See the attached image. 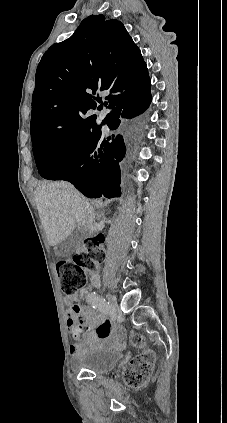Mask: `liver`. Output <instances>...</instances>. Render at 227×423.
I'll return each instance as SVG.
<instances>
[{
	"label": "liver",
	"instance_id": "1",
	"mask_svg": "<svg viewBox=\"0 0 227 423\" xmlns=\"http://www.w3.org/2000/svg\"><path fill=\"white\" fill-rule=\"evenodd\" d=\"M34 200L50 245H57L68 237L77 223L93 231L97 229V223H88L86 208L83 206L88 200L68 182L38 184Z\"/></svg>",
	"mask_w": 227,
	"mask_h": 423
}]
</instances>
